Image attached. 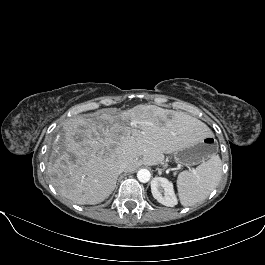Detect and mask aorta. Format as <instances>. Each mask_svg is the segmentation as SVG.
I'll return each instance as SVG.
<instances>
[{"mask_svg":"<svg viewBox=\"0 0 265 265\" xmlns=\"http://www.w3.org/2000/svg\"><path fill=\"white\" fill-rule=\"evenodd\" d=\"M137 178L140 182L142 183H146L150 180L151 178V173L149 170L147 169H140L138 172H137Z\"/></svg>","mask_w":265,"mask_h":265,"instance_id":"aorta-1","label":"aorta"}]
</instances>
